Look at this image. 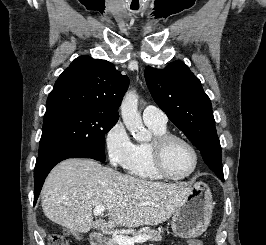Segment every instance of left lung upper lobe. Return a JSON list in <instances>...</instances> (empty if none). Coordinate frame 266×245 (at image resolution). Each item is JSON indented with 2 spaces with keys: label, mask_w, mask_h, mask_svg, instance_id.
Listing matches in <instances>:
<instances>
[{
  "label": "left lung upper lobe",
  "mask_w": 266,
  "mask_h": 245,
  "mask_svg": "<svg viewBox=\"0 0 266 245\" xmlns=\"http://www.w3.org/2000/svg\"><path fill=\"white\" fill-rule=\"evenodd\" d=\"M145 79L154 101L196 146L209 168L223 176L220 141L209 97L182 61L164 69L147 66Z\"/></svg>",
  "instance_id": "left-lung-upper-lobe-1"
}]
</instances>
